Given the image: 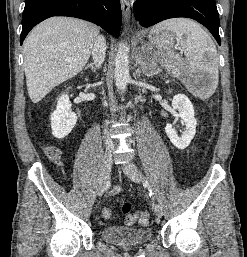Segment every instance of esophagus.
Here are the masks:
<instances>
[{
    "mask_svg": "<svg viewBox=\"0 0 247 257\" xmlns=\"http://www.w3.org/2000/svg\"><path fill=\"white\" fill-rule=\"evenodd\" d=\"M120 3L124 21L128 24L131 17V3L129 0H120Z\"/></svg>",
    "mask_w": 247,
    "mask_h": 257,
    "instance_id": "obj_1",
    "label": "esophagus"
}]
</instances>
